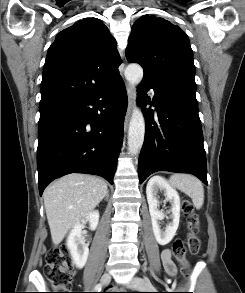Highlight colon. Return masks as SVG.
I'll return each mask as SVG.
<instances>
[{
	"label": "colon",
	"mask_w": 245,
	"mask_h": 293,
	"mask_svg": "<svg viewBox=\"0 0 245 293\" xmlns=\"http://www.w3.org/2000/svg\"><path fill=\"white\" fill-rule=\"evenodd\" d=\"M181 207L188 228V248L192 254H196L200 249L201 243L198 236L200 232L199 219L190 201H183ZM185 253L186 248L184 242L180 239L176 240L173 243V254L177 261L183 265L182 275L188 278L190 269ZM44 273L51 285L60 291L58 293H70L68 291L73 283L74 272L72 260L67 248H55L49 251L46 256Z\"/></svg>",
	"instance_id": "colon-1"
}]
</instances>
